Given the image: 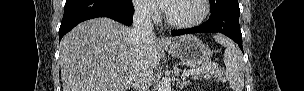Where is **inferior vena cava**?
Wrapping results in <instances>:
<instances>
[{
  "mask_svg": "<svg viewBox=\"0 0 304 91\" xmlns=\"http://www.w3.org/2000/svg\"><path fill=\"white\" fill-rule=\"evenodd\" d=\"M153 30L154 27L151 22L150 9L146 6L136 5L133 17L132 36L138 55L133 76L137 91H147L152 81L153 68L146 61L145 55L148 51V41L155 38Z\"/></svg>",
  "mask_w": 304,
  "mask_h": 91,
  "instance_id": "inferior-vena-cava-1",
  "label": "inferior vena cava"
}]
</instances>
